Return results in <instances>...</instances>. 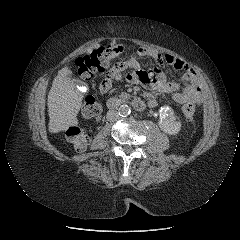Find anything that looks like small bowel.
Masks as SVG:
<instances>
[{
    "label": "small bowel",
    "mask_w": 240,
    "mask_h": 240,
    "mask_svg": "<svg viewBox=\"0 0 240 240\" xmlns=\"http://www.w3.org/2000/svg\"><path fill=\"white\" fill-rule=\"evenodd\" d=\"M139 58H152L160 66L168 65L176 70L183 71L181 83L168 81L165 73L160 68L143 70ZM127 69H131V71L125 74V79L132 84H141L161 93H173L174 101L180 104L191 103L198 106L202 102L201 85L195 70L172 55L161 54L157 50L148 47H140L136 54L127 57L125 61L117 63L107 71L99 86L100 92H109L113 83L119 80ZM181 85L183 86L182 91L177 92ZM156 105L157 101L152 97L148 101V106L153 108Z\"/></svg>",
    "instance_id": "c3829d8e"
}]
</instances>
